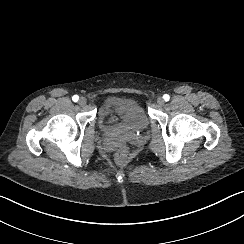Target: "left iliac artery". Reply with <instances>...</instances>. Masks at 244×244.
Masks as SVG:
<instances>
[{
	"label": "left iliac artery",
	"mask_w": 244,
	"mask_h": 244,
	"mask_svg": "<svg viewBox=\"0 0 244 244\" xmlns=\"http://www.w3.org/2000/svg\"><path fill=\"white\" fill-rule=\"evenodd\" d=\"M163 98H164L165 101H168V100L170 99V97H169L168 94H165V95L163 96Z\"/></svg>",
	"instance_id": "1"
}]
</instances>
